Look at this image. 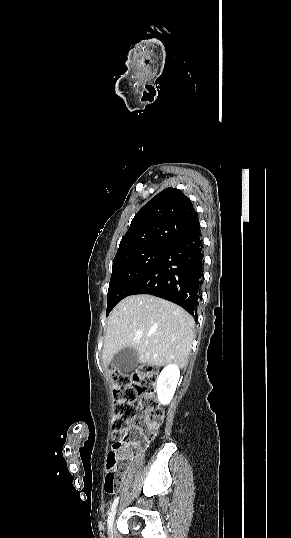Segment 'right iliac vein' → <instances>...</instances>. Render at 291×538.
<instances>
[{"mask_svg":"<svg viewBox=\"0 0 291 538\" xmlns=\"http://www.w3.org/2000/svg\"><path fill=\"white\" fill-rule=\"evenodd\" d=\"M115 515H116V508L113 510V512L110 514V516L108 518V532H109L110 535H112V533H113V525H114Z\"/></svg>","mask_w":291,"mask_h":538,"instance_id":"right-iliac-vein-1","label":"right iliac vein"}]
</instances>
